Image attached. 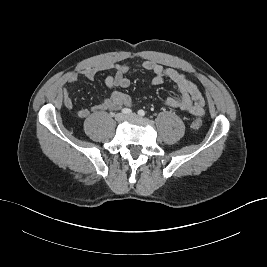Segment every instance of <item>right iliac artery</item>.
<instances>
[{"label": "right iliac artery", "instance_id": "82829eb1", "mask_svg": "<svg viewBox=\"0 0 267 267\" xmlns=\"http://www.w3.org/2000/svg\"><path fill=\"white\" fill-rule=\"evenodd\" d=\"M121 112L123 114H130L132 112V110L131 109H128V108H124V109L121 110Z\"/></svg>", "mask_w": 267, "mask_h": 267}]
</instances>
